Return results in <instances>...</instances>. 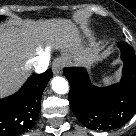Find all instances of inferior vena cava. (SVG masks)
I'll use <instances>...</instances> for the list:
<instances>
[{
	"label": "inferior vena cava",
	"instance_id": "602c4592",
	"mask_svg": "<svg viewBox=\"0 0 136 136\" xmlns=\"http://www.w3.org/2000/svg\"><path fill=\"white\" fill-rule=\"evenodd\" d=\"M49 58L50 57L47 54L36 56L32 59L31 65L34 67L37 73H42L47 69L49 65Z\"/></svg>",
	"mask_w": 136,
	"mask_h": 136
}]
</instances>
